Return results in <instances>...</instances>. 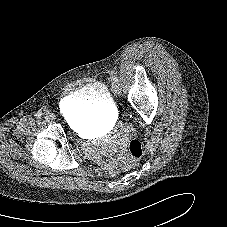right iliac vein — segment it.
<instances>
[{
  "mask_svg": "<svg viewBox=\"0 0 227 227\" xmlns=\"http://www.w3.org/2000/svg\"><path fill=\"white\" fill-rule=\"evenodd\" d=\"M45 117L48 118V119H51V118H53V115L50 114V113H46V114H45Z\"/></svg>",
  "mask_w": 227,
  "mask_h": 227,
  "instance_id": "obj_1",
  "label": "right iliac vein"
}]
</instances>
